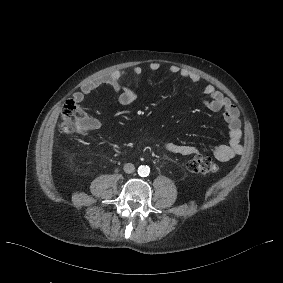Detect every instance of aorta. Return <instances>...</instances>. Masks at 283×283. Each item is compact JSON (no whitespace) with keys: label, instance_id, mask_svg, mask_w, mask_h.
Listing matches in <instances>:
<instances>
[{"label":"aorta","instance_id":"obj_1","mask_svg":"<svg viewBox=\"0 0 283 283\" xmlns=\"http://www.w3.org/2000/svg\"><path fill=\"white\" fill-rule=\"evenodd\" d=\"M150 173V168L147 165H141L138 167V174L142 177L148 176Z\"/></svg>","mask_w":283,"mask_h":283}]
</instances>
